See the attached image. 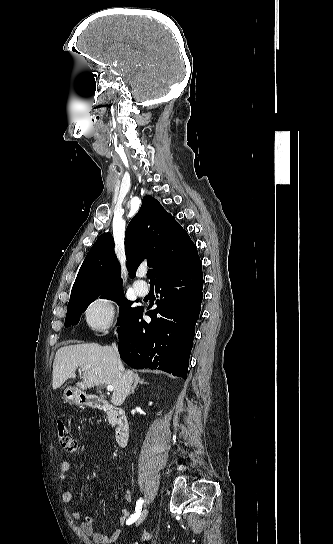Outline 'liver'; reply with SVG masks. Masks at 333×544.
Listing matches in <instances>:
<instances>
[{"instance_id":"6515ba94","label":"liver","mask_w":333,"mask_h":544,"mask_svg":"<svg viewBox=\"0 0 333 544\" xmlns=\"http://www.w3.org/2000/svg\"><path fill=\"white\" fill-rule=\"evenodd\" d=\"M83 371L82 381L77 382L79 390L98 385L113 386L111 403L120 406L131 390L137 374L125 370L115 350L97 343L67 345L58 349L53 363V389L61 387L68 378H75V370Z\"/></svg>"}]
</instances>
